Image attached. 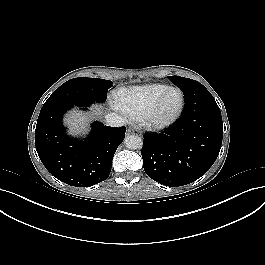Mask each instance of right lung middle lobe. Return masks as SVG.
<instances>
[{
    "label": "right lung middle lobe",
    "instance_id": "obj_1",
    "mask_svg": "<svg viewBox=\"0 0 265 265\" xmlns=\"http://www.w3.org/2000/svg\"><path fill=\"white\" fill-rule=\"evenodd\" d=\"M111 81L99 78H73L57 88L44 103V106L71 104L89 106L93 102H104Z\"/></svg>",
    "mask_w": 265,
    "mask_h": 265
}]
</instances>
